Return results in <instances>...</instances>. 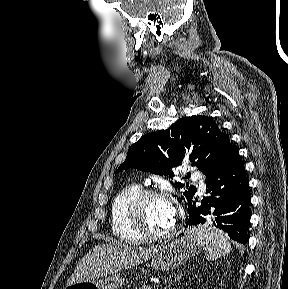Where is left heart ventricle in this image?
<instances>
[{
  "label": "left heart ventricle",
  "mask_w": 288,
  "mask_h": 289,
  "mask_svg": "<svg viewBox=\"0 0 288 289\" xmlns=\"http://www.w3.org/2000/svg\"><path fill=\"white\" fill-rule=\"evenodd\" d=\"M174 209L170 202L162 199L148 200L143 208L145 226L158 232L170 228L174 222Z\"/></svg>",
  "instance_id": "obj_1"
}]
</instances>
